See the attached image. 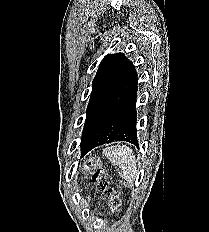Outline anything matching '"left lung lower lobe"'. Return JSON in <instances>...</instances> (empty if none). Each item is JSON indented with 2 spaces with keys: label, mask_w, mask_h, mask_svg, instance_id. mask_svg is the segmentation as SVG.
<instances>
[{
  "label": "left lung lower lobe",
  "mask_w": 209,
  "mask_h": 232,
  "mask_svg": "<svg viewBox=\"0 0 209 232\" xmlns=\"http://www.w3.org/2000/svg\"><path fill=\"white\" fill-rule=\"evenodd\" d=\"M137 73L134 65L115 92L92 108L86 117L81 137V152L114 141L137 145Z\"/></svg>",
  "instance_id": "0a47b994"
}]
</instances>
